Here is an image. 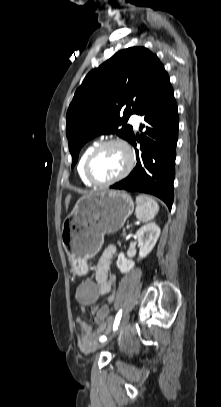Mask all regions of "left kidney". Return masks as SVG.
I'll use <instances>...</instances> for the list:
<instances>
[{"label": "left kidney", "mask_w": 221, "mask_h": 407, "mask_svg": "<svg viewBox=\"0 0 221 407\" xmlns=\"http://www.w3.org/2000/svg\"><path fill=\"white\" fill-rule=\"evenodd\" d=\"M160 232V227L155 222L145 224L136 232L139 247V259L145 258L152 251L160 236ZM116 263L121 273L129 272L135 265V262L133 260H128L124 253L119 254Z\"/></svg>", "instance_id": "1"}]
</instances>
